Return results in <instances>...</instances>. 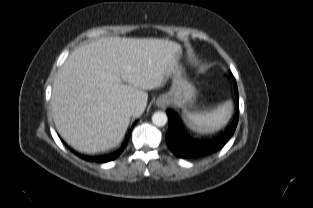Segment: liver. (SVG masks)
<instances>
[{
  "instance_id": "1",
  "label": "liver",
  "mask_w": 313,
  "mask_h": 208,
  "mask_svg": "<svg viewBox=\"0 0 313 208\" xmlns=\"http://www.w3.org/2000/svg\"><path fill=\"white\" fill-rule=\"evenodd\" d=\"M181 53L180 44L155 38H102L75 49L53 83L52 112L61 136L86 153L116 147L130 122L120 107L135 100L132 116L141 115L146 90L165 84Z\"/></svg>"
}]
</instances>
